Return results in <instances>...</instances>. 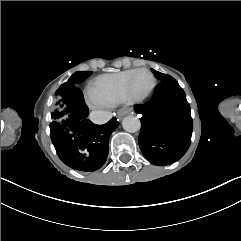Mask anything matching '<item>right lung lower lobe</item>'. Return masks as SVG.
<instances>
[{"mask_svg":"<svg viewBox=\"0 0 241 241\" xmlns=\"http://www.w3.org/2000/svg\"><path fill=\"white\" fill-rule=\"evenodd\" d=\"M67 95L70 114L50 124L52 143L67 166L85 172L98 170L106 162L109 138L119 122L113 117L103 125L92 123L81 90L70 86Z\"/></svg>","mask_w":241,"mask_h":241,"instance_id":"98d812e1","label":"right lung lower lobe"}]
</instances>
